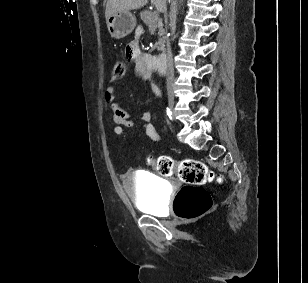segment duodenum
<instances>
[{
	"instance_id": "duodenum-1",
	"label": "duodenum",
	"mask_w": 308,
	"mask_h": 283,
	"mask_svg": "<svg viewBox=\"0 0 308 283\" xmlns=\"http://www.w3.org/2000/svg\"><path fill=\"white\" fill-rule=\"evenodd\" d=\"M146 60L148 62H152V67L157 69L161 73H165L167 69V60H168V55L166 52H162L155 56L154 58L151 55H148L146 57Z\"/></svg>"
}]
</instances>
